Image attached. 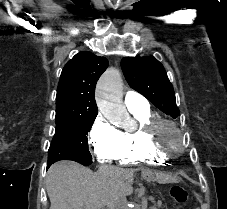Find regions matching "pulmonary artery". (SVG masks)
<instances>
[{
    "label": "pulmonary artery",
    "instance_id": "pulmonary-artery-1",
    "mask_svg": "<svg viewBox=\"0 0 227 209\" xmlns=\"http://www.w3.org/2000/svg\"><path fill=\"white\" fill-rule=\"evenodd\" d=\"M124 103L128 109H131L145 107L149 105V100H145V95H139V91H126Z\"/></svg>",
    "mask_w": 227,
    "mask_h": 209
}]
</instances>
